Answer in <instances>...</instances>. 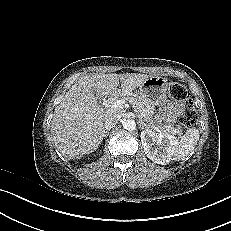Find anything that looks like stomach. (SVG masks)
Wrapping results in <instances>:
<instances>
[{
	"mask_svg": "<svg viewBox=\"0 0 231 231\" xmlns=\"http://www.w3.org/2000/svg\"><path fill=\"white\" fill-rule=\"evenodd\" d=\"M168 80L162 76H151L138 88V95L151 105H160L167 100Z\"/></svg>",
	"mask_w": 231,
	"mask_h": 231,
	"instance_id": "obj_1",
	"label": "stomach"
}]
</instances>
